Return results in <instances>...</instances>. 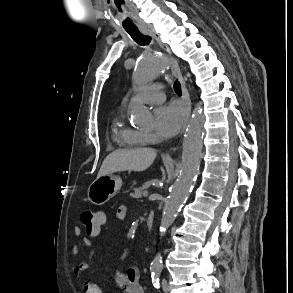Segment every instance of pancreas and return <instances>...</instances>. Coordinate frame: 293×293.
Listing matches in <instances>:
<instances>
[{
  "label": "pancreas",
  "mask_w": 293,
  "mask_h": 293,
  "mask_svg": "<svg viewBox=\"0 0 293 293\" xmlns=\"http://www.w3.org/2000/svg\"><path fill=\"white\" fill-rule=\"evenodd\" d=\"M134 192L130 194L131 198L140 199L145 191L143 187H135Z\"/></svg>",
  "instance_id": "1"
}]
</instances>
